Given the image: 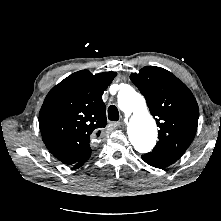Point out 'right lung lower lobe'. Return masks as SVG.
Instances as JSON below:
<instances>
[{
    "label": "right lung lower lobe",
    "instance_id": "98d812e1",
    "mask_svg": "<svg viewBox=\"0 0 221 221\" xmlns=\"http://www.w3.org/2000/svg\"><path fill=\"white\" fill-rule=\"evenodd\" d=\"M89 157L84 159V160H82V161H80V162H78L77 164H75L74 168H78V167L82 166L89 159Z\"/></svg>",
    "mask_w": 221,
    "mask_h": 221
}]
</instances>
